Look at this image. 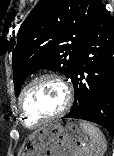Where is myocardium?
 Here are the masks:
<instances>
[{
    "label": "myocardium",
    "mask_w": 114,
    "mask_h": 156,
    "mask_svg": "<svg viewBox=\"0 0 114 156\" xmlns=\"http://www.w3.org/2000/svg\"><path fill=\"white\" fill-rule=\"evenodd\" d=\"M45 79H50L55 81L56 83H58L60 85V87L63 90V95H64V101H63V105L61 106V108L54 114L45 117L43 119H41L40 121H38L36 124L29 126L26 124L25 119H24V113H23V108H22V100L23 97L25 96V94L27 93V91L37 82L41 81V80H45ZM73 102V90L71 85L59 74L53 73V72H46V73H42L37 75L36 77H34L33 79H31L21 90L19 97H18V109L20 112V117H21V121L23 123V125L27 128L33 129L36 128L46 122L55 120L61 116H63L71 107Z\"/></svg>",
    "instance_id": "1"
}]
</instances>
